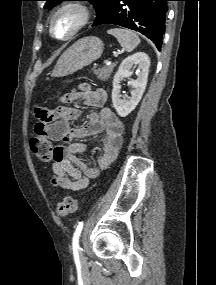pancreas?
<instances>
[{"instance_id": "1", "label": "pancreas", "mask_w": 216, "mask_h": 285, "mask_svg": "<svg viewBox=\"0 0 216 285\" xmlns=\"http://www.w3.org/2000/svg\"><path fill=\"white\" fill-rule=\"evenodd\" d=\"M116 65H117V63H112V64H110V65H108L102 69L93 70V73L97 76V78L99 80L107 81L110 78V76H111L114 68L116 67Z\"/></svg>"}]
</instances>
